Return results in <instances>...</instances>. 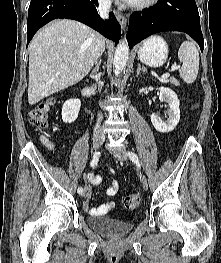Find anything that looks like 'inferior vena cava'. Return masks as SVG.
<instances>
[{
    "mask_svg": "<svg viewBox=\"0 0 221 263\" xmlns=\"http://www.w3.org/2000/svg\"><path fill=\"white\" fill-rule=\"evenodd\" d=\"M111 8V1L110 0H99V13L102 18H107L108 17V12ZM97 47L101 51L99 57L101 56L102 52L105 49V41L102 36H99L98 41H97ZM97 63V62H96ZM102 114L98 113L97 116V123L94 128V136L98 138H105L104 133L102 132V128L100 127L101 121H102Z\"/></svg>",
    "mask_w": 221,
    "mask_h": 263,
    "instance_id": "1",
    "label": "inferior vena cava"
}]
</instances>
